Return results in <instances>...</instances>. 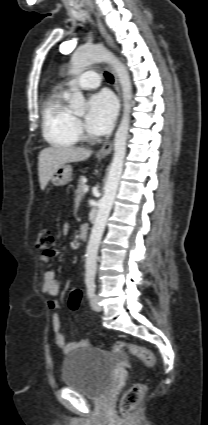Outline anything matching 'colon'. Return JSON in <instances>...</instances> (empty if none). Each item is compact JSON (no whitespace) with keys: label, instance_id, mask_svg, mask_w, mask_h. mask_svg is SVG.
<instances>
[{"label":"colon","instance_id":"obj_1","mask_svg":"<svg viewBox=\"0 0 208 425\" xmlns=\"http://www.w3.org/2000/svg\"><path fill=\"white\" fill-rule=\"evenodd\" d=\"M54 245L55 239L51 231L47 229L41 230L36 240L37 249L42 251L43 254L52 255L55 252ZM81 300V289L79 287H73L69 295V308L73 311L79 310ZM111 350L114 353L118 354L126 352L131 354L132 356L139 358L151 371H154L156 367V358L154 354L150 350L137 344L127 342H115L111 345ZM147 389L148 383H137L131 386L124 393L120 401V413L125 417H129L142 400Z\"/></svg>","mask_w":208,"mask_h":425}]
</instances>
